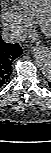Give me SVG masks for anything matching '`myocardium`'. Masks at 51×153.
<instances>
[{
	"label": "myocardium",
	"instance_id": "myocardium-1",
	"mask_svg": "<svg viewBox=\"0 0 51 153\" xmlns=\"http://www.w3.org/2000/svg\"><path fill=\"white\" fill-rule=\"evenodd\" d=\"M40 27L41 30L47 35V36H51V12L47 11L46 13H44L42 15V17L40 18Z\"/></svg>",
	"mask_w": 51,
	"mask_h": 153
}]
</instances>
